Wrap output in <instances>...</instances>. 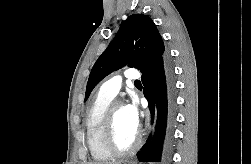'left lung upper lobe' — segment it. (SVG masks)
<instances>
[{"instance_id":"5c2ea615","label":"left lung upper lobe","mask_w":251,"mask_h":164,"mask_svg":"<svg viewBox=\"0 0 251 164\" xmlns=\"http://www.w3.org/2000/svg\"><path fill=\"white\" fill-rule=\"evenodd\" d=\"M164 58V43L154 22L143 14L129 16L94 64L86 87L85 101L93 88L114 70L128 64L146 74Z\"/></svg>"}]
</instances>
